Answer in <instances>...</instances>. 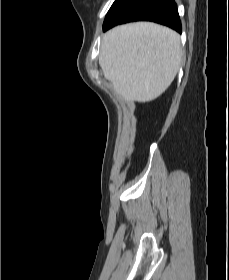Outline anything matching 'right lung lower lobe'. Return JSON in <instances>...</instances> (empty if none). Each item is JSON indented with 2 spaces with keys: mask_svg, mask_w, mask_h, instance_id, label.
I'll use <instances>...</instances> for the list:
<instances>
[{
  "mask_svg": "<svg viewBox=\"0 0 229 280\" xmlns=\"http://www.w3.org/2000/svg\"><path fill=\"white\" fill-rule=\"evenodd\" d=\"M153 21L181 33L182 27L174 0H116L107 14L103 30L132 21Z\"/></svg>",
  "mask_w": 229,
  "mask_h": 280,
  "instance_id": "1",
  "label": "right lung lower lobe"
}]
</instances>
